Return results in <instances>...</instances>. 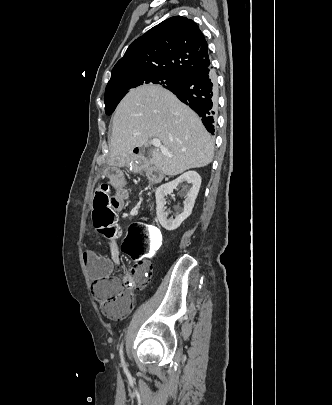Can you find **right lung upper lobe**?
I'll return each instance as SVG.
<instances>
[{"mask_svg": "<svg viewBox=\"0 0 332 405\" xmlns=\"http://www.w3.org/2000/svg\"><path fill=\"white\" fill-rule=\"evenodd\" d=\"M207 46L193 20L181 16L168 18L131 43L114 66L110 81L137 72L184 77L210 64Z\"/></svg>", "mask_w": 332, "mask_h": 405, "instance_id": "1", "label": "right lung upper lobe"}]
</instances>
